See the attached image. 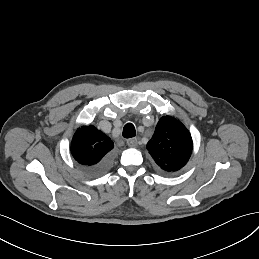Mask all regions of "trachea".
<instances>
[{
	"label": "trachea",
	"instance_id": "1",
	"mask_svg": "<svg viewBox=\"0 0 259 259\" xmlns=\"http://www.w3.org/2000/svg\"><path fill=\"white\" fill-rule=\"evenodd\" d=\"M122 135L124 138H131L134 137L136 135V131H135V127L133 124L128 123L124 126Z\"/></svg>",
	"mask_w": 259,
	"mask_h": 259
}]
</instances>
